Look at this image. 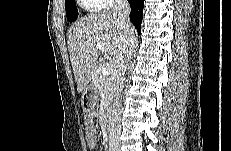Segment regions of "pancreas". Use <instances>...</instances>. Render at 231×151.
<instances>
[{
    "mask_svg": "<svg viewBox=\"0 0 231 151\" xmlns=\"http://www.w3.org/2000/svg\"><path fill=\"white\" fill-rule=\"evenodd\" d=\"M94 86L99 90L102 95V101L105 105H108L113 97V74L112 72L108 74H103L101 69H99L94 78Z\"/></svg>",
    "mask_w": 231,
    "mask_h": 151,
    "instance_id": "obj_1",
    "label": "pancreas"
}]
</instances>
